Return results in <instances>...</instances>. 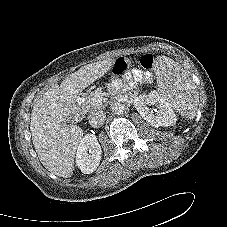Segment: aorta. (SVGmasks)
Instances as JSON below:
<instances>
[{"label":"aorta","instance_id":"1","mask_svg":"<svg viewBox=\"0 0 227 227\" xmlns=\"http://www.w3.org/2000/svg\"><path fill=\"white\" fill-rule=\"evenodd\" d=\"M111 108H112V112L117 115H120L121 113H123L125 109L124 105L119 102L113 103Z\"/></svg>","mask_w":227,"mask_h":227}]
</instances>
